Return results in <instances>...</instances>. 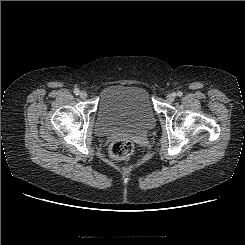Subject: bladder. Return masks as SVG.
<instances>
[{"label": "bladder", "instance_id": "31cf9c89", "mask_svg": "<svg viewBox=\"0 0 245 245\" xmlns=\"http://www.w3.org/2000/svg\"><path fill=\"white\" fill-rule=\"evenodd\" d=\"M155 122V111L147 88L114 84L101 92L96 123L98 135H138L150 130Z\"/></svg>", "mask_w": 245, "mask_h": 245}]
</instances>
